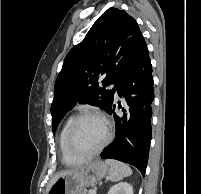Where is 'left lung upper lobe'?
<instances>
[{"instance_id":"5c2ea615","label":"left lung upper lobe","mask_w":201,"mask_h":194,"mask_svg":"<svg viewBox=\"0 0 201 194\" xmlns=\"http://www.w3.org/2000/svg\"><path fill=\"white\" fill-rule=\"evenodd\" d=\"M136 20L117 8L106 10L84 40L67 54L54 88L51 105L55 132L64 115L77 102L108 110L119 83L144 42ZM103 76L102 86L98 79ZM115 84L111 90L107 86Z\"/></svg>"}]
</instances>
